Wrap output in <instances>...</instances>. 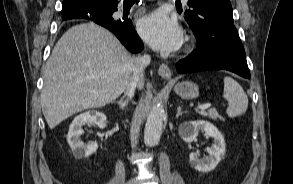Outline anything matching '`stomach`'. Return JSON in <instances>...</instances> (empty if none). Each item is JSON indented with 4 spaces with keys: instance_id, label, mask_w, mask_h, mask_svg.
<instances>
[{
    "instance_id": "obj_1",
    "label": "stomach",
    "mask_w": 293,
    "mask_h": 184,
    "mask_svg": "<svg viewBox=\"0 0 293 184\" xmlns=\"http://www.w3.org/2000/svg\"><path fill=\"white\" fill-rule=\"evenodd\" d=\"M174 91L183 99H194L199 95V87L191 81H182L175 85Z\"/></svg>"
}]
</instances>
